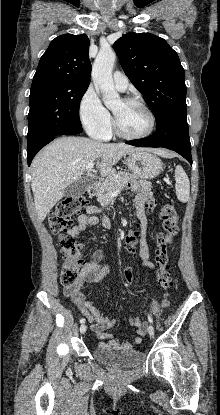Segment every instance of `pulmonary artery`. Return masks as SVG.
I'll use <instances>...</instances> for the list:
<instances>
[{
  "instance_id": "e3ab8cb5",
  "label": "pulmonary artery",
  "mask_w": 220,
  "mask_h": 415,
  "mask_svg": "<svg viewBox=\"0 0 220 415\" xmlns=\"http://www.w3.org/2000/svg\"><path fill=\"white\" fill-rule=\"evenodd\" d=\"M113 82H114L115 88L120 92H124L127 89L128 84H129L128 78L119 71L114 72Z\"/></svg>"
}]
</instances>
